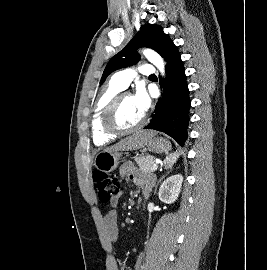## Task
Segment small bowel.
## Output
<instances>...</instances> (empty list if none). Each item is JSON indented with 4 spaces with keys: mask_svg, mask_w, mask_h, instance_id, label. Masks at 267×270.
<instances>
[{
    "mask_svg": "<svg viewBox=\"0 0 267 270\" xmlns=\"http://www.w3.org/2000/svg\"><path fill=\"white\" fill-rule=\"evenodd\" d=\"M120 175L123 178H128L133 183H135L143 198L147 197L151 187L152 181L149 178L143 177L136 171L135 167L132 164H126L120 169ZM119 197L116 196L112 201V206H116L118 203ZM104 224L106 228L107 239L110 244H115L119 239V229H118V214L115 209L107 211L104 216ZM143 260V255L140 254L135 263V270H139ZM115 266L117 267V262L115 261Z\"/></svg>",
    "mask_w": 267,
    "mask_h": 270,
    "instance_id": "obj_1",
    "label": "small bowel"
}]
</instances>
